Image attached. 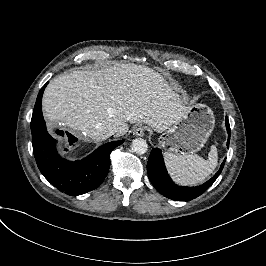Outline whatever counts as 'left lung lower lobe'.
Wrapping results in <instances>:
<instances>
[{
    "instance_id": "0a47b994",
    "label": "left lung lower lobe",
    "mask_w": 266,
    "mask_h": 266,
    "mask_svg": "<svg viewBox=\"0 0 266 266\" xmlns=\"http://www.w3.org/2000/svg\"><path fill=\"white\" fill-rule=\"evenodd\" d=\"M226 128L228 132L227 145L229 147L230 140V126L229 120L226 117ZM220 166L219 171L207 182L196 187H184L176 185L167 173L161 150L158 148L152 149L148 163L147 173L152 185L160 192L163 196L175 200V201H190L203 194L217 179L221 173L224 163Z\"/></svg>"
}]
</instances>
